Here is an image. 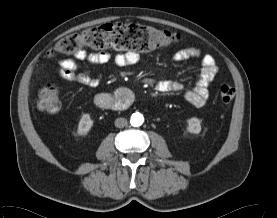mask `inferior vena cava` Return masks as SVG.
<instances>
[{"mask_svg":"<svg viewBox=\"0 0 277 218\" xmlns=\"http://www.w3.org/2000/svg\"><path fill=\"white\" fill-rule=\"evenodd\" d=\"M115 126L118 128H123L127 125V120L125 118H117L114 122Z\"/></svg>","mask_w":277,"mask_h":218,"instance_id":"obj_1","label":"inferior vena cava"}]
</instances>
